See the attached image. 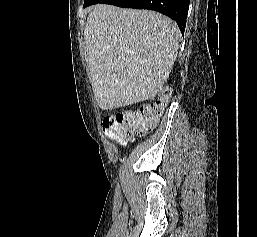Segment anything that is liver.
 <instances>
[{
  "mask_svg": "<svg viewBox=\"0 0 257 237\" xmlns=\"http://www.w3.org/2000/svg\"><path fill=\"white\" fill-rule=\"evenodd\" d=\"M84 39L94 96L104 110L154 97L179 49L178 27L168 17L102 4L89 13Z\"/></svg>",
  "mask_w": 257,
  "mask_h": 237,
  "instance_id": "obj_1",
  "label": "liver"
}]
</instances>
